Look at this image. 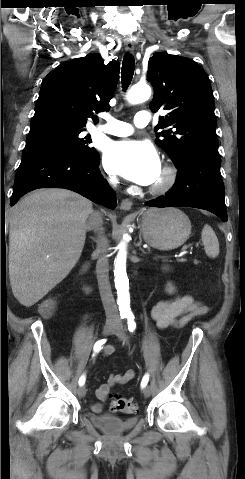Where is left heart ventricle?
Masks as SVG:
<instances>
[{
	"instance_id": "b2bd125f",
	"label": "left heart ventricle",
	"mask_w": 245,
	"mask_h": 479,
	"mask_svg": "<svg viewBox=\"0 0 245 479\" xmlns=\"http://www.w3.org/2000/svg\"><path fill=\"white\" fill-rule=\"evenodd\" d=\"M160 177H161V173H160L159 177L157 178V180L155 182H157L160 179Z\"/></svg>"
}]
</instances>
